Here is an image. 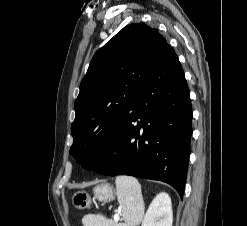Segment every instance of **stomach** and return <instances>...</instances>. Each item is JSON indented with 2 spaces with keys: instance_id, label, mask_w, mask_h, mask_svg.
<instances>
[{
  "instance_id": "0dacf381",
  "label": "stomach",
  "mask_w": 247,
  "mask_h": 226,
  "mask_svg": "<svg viewBox=\"0 0 247 226\" xmlns=\"http://www.w3.org/2000/svg\"><path fill=\"white\" fill-rule=\"evenodd\" d=\"M94 199L101 202H109L114 199V189L108 183H102L94 187ZM72 204L77 209H87L91 205V197L85 191H76L72 196Z\"/></svg>"
}]
</instances>
